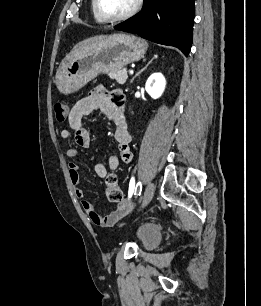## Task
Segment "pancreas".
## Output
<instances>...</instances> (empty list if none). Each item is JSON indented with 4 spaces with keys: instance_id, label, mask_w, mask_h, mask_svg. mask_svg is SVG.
Returning <instances> with one entry per match:
<instances>
[{
    "instance_id": "1",
    "label": "pancreas",
    "mask_w": 261,
    "mask_h": 306,
    "mask_svg": "<svg viewBox=\"0 0 261 306\" xmlns=\"http://www.w3.org/2000/svg\"><path fill=\"white\" fill-rule=\"evenodd\" d=\"M108 76L111 79H115L119 84H124L128 78L127 70L125 68L112 71L108 73Z\"/></svg>"
}]
</instances>
